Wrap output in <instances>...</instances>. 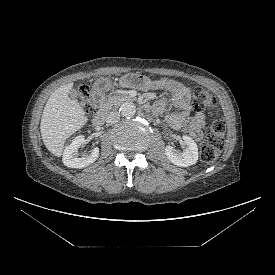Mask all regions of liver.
Masks as SVG:
<instances>
[{"mask_svg": "<svg viewBox=\"0 0 275 275\" xmlns=\"http://www.w3.org/2000/svg\"><path fill=\"white\" fill-rule=\"evenodd\" d=\"M72 87V83H68L56 89L42 113L41 137L46 148L56 157L62 155L66 139L88 122L83 107L69 97Z\"/></svg>", "mask_w": 275, "mask_h": 275, "instance_id": "liver-1", "label": "liver"}]
</instances>
